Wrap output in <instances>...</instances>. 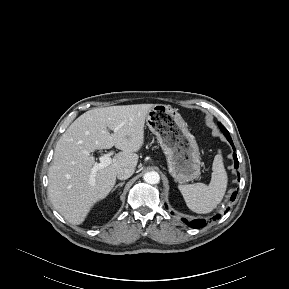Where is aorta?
<instances>
[{
  "mask_svg": "<svg viewBox=\"0 0 289 289\" xmlns=\"http://www.w3.org/2000/svg\"><path fill=\"white\" fill-rule=\"evenodd\" d=\"M144 181L148 184H158L160 176L156 171H150L144 174Z\"/></svg>",
  "mask_w": 289,
  "mask_h": 289,
  "instance_id": "1",
  "label": "aorta"
}]
</instances>
